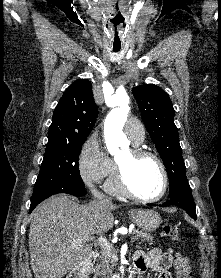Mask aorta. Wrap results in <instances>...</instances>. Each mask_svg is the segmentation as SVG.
Segmentation results:
<instances>
[{
	"label": "aorta",
	"mask_w": 221,
	"mask_h": 278,
	"mask_svg": "<svg viewBox=\"0 0 221 278\" xmlns=\"http://www.w3.org/2000/svg\"><path fill=\"white\" fill-rule=\"evenodd\" d=\"M116 105L107 115L104 124V136L110 153L116 152L126 142L122 129L130 111L129 97L126 94L118 95Z\"/></svg>",
	"instance_id": "1"
}]
</instances>
